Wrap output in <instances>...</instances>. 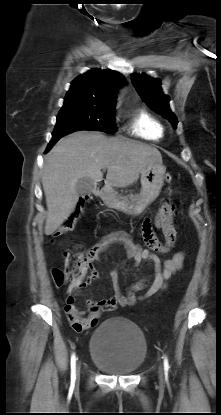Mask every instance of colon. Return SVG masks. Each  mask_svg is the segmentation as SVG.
I'll use <instances>...</instances> for the list:
<instances>
[{"label": "colon", "instance_id": "5ec220e1", "mask_svg": "<svg viewBox=\"0 0 221 415\" xmlns=\"http://www.w3.org/2000/svg\"><path fill=\"white\" fill-rule=\"evenodd\" d=\"M165 181L170 183L172 181V176L170 174L165 175ZM168 194L171 193V189L168 188ZM78 214V210L73 213L67 221H65L62 226L54 233V238H59L67 235L72 232L75 226V220ZM172 204L165 200L157 216V225L162 226L172 220ZM91 261L89 253L83 251H75L68 254L64 260L63 267L53 268L51 271L53 281L56 286L60 287L64 285L69 278H71L70 286H83L85 285L84 278L88 265Z\"/></svg>", "mask_w": 221, "mask_h": 415}]
</instances>
